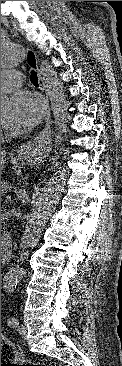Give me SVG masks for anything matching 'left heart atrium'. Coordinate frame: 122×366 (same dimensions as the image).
Instances as JSON below:
<instances>
[{"label":"left heart atrium","mask_w":122,"mask_h":366,"mask_svg":"<svg viewBox=\"0 0 122 366\" xmlns=\"http://www.w3.org/2000/svg\"><path fill=\"white\" fill-rule=\"evenodd\" d=\"M44 115V103L35 94L18 92L10 99L4 126L11 132H22L34 128Z\"/></svg>","instance_id":"39dd6f15"}]
</instances>
